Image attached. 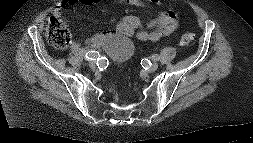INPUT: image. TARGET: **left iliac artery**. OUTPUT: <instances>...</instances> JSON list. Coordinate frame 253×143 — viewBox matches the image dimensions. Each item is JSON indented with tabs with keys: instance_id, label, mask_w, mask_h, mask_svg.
Masks as SVG:
<instances>
[{
	"instance_id": "44dca946",
	"label": "left iliac artery",
	"mask_w": 253,
	"mask_h": 143,
	"mask_svg": "<svg viewBox=\"0 0 253 143\" xmlns=\"http://www.w3.org/2000/svg\"><path fill=\"white\" fill-rule=\"evenodd\" d=\"M152 59H153L154 61H157V60H159V56H158L157 54H154V55L152 56Z\"/></svg>"
}]
</instances>
